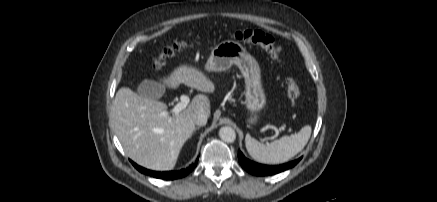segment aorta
<instances>
[{"mask_svg":"<svg viewBox=\"0 0 437 202\" xmlns=\"http://www.w3.org/2000/svg\"><path fill=\"white\" fill-rule=\"evenodd\" d=\"M220 138L227 143H233L236 139L235 130L230 126L221 127L219 130Z\"/></svg>","mask_w":437,"mask_h":202,"instance_id":"1","label":"aorta"}]
</instances>
